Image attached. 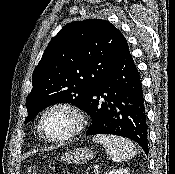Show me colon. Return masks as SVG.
Masks as SVG:
<instances>
[{"mask_svg":"<svg viewBox=\"0 0 175 174\" xmlns=\"http://www.w3.org/2000/svg\"><path fill=\"white\" fill-rule=\"evenodd\" d=\"M26 174H37V171L34 168H29Z\"/></svg>","mask_w":175,"mask_h":174,"instance_id":"1","label":"colon"}]
</instances>
